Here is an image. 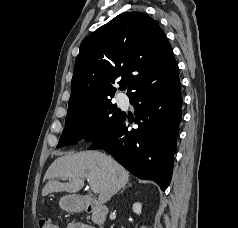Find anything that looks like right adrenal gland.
I'll list each match as a JSON object with an SVG mask.
<instances>
[{
	"mask_svg": "<svg viewBox=\"0 0 238 228\" xmlns=\"http://www.w3.org/2000/svg\"><path fill=\"white\" fill-rule=\"evenodd\" d=\"M128 186H131V184L129 183ZM125 189H126V187H123L122 190L120 191V193H122Z\"/></svg>",
	"mask_w": 238,
	"mask_h": 228,
	"instance_id": "right-adrenal-gland-1",
	"label": "right adrenal gland"
}]
</instances>
